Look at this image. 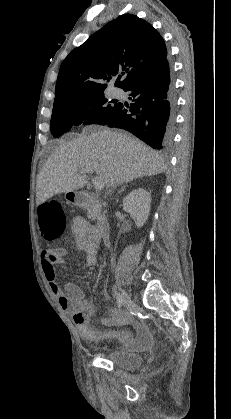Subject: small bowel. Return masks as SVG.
Segmentation results:
<instances>
[{
    "instance_id": "small-bowel-1",
    "label": "small bowel",
    "mask_w": 231,
    "mask_h": 419,
    "mask_svg": "<svg viewBox=\"0 0 231 419\" xmlns=\"http://www.w3.org/2000/svg\"><path fill=\"white\" fill-rule=\"evenodd\" d=\"M72 231L76 248L85 254V266H96L100 239L97 228L84 217L76 216L72 221ZM66 255L67 251L62 247L44 250L41 254V263L52 293L57 298L60 307L72 314L82 338L90 343H96L104 338H113L119 341L125 350L145 349L151 334L143 324L134 321L128 313L113 311L109 317L102 319V324L107 327L132 326L135 334L129 330L98 332L89 326L92 312L90 315L84 316L82 310L85 307L91 308L92 305L87 300L82 288L78 284L70 282L62 289L57 282L54 266L66 264Z\"/></svg>"
}]
</instances>
